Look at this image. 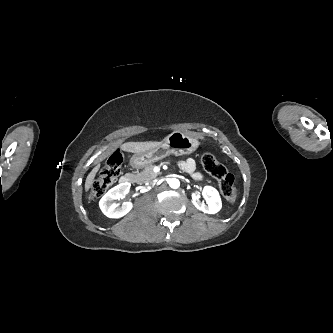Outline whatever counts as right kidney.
<instances>
[{"label": "right kidney", "mask_w": 333, "mask_h": 333, "mask_svg": "<svg viewBox=\"0 0 333 333\" xmlns=\"http://www.w3.org/2000/svg\"><path fill=\"white\" fill-rule=\"evenodd\" d=\"M131 184L122 182L110 189L100 200L99 206L101 211L109 218H120L126 215L133 207L131 202H123L118 206L113 201L126 196L130 191Z\"/></svg>", "instance_id": "right-kidney-1"}]
</instances>
